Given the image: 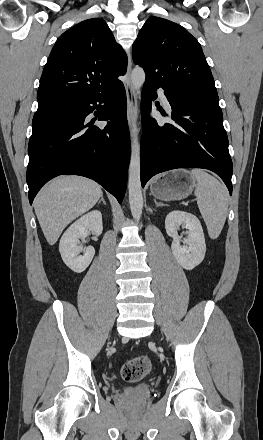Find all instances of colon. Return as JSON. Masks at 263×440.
I'll list each match as a JSON object with an SVG mask.
<instances>
[{
    "label": "colon",
    "instance_id": "obj_1",
    "mask_svg": "<svg viewBox=\"0 0 263 440\" xmlns=\"http://www.w3.org/2000/svg\"><path fill=\"white\" fill-rule=\"evenodd\" d=\"M151 367V359L146 355H140L123 364L121 377L126 382H138L149 373Z\"/></svg>",
    "mask_w": 263,
    "mask_h": 440
}]
</instances>
